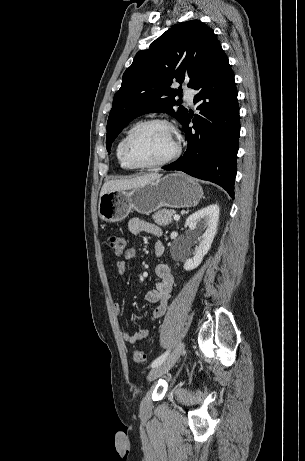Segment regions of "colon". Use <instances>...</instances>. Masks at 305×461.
<instances>
[{
    "label": "colon",
    "mask_w": 305,
    "mask_h": 461,
    "mask_svg": "<svg viewBox=\"0 0 305 461\" xmlns=\"http://www.w3.org/2000/svg\"><path fill=\"white\" fill-rule=\"evenodd\" d=\"M108 245L116 255H122L126 251L127 240L124 236L110 235L108 237ZM133 359L135 362L142 363L146 360L145 353L140 349L133 351Z\"/></svg>",
    "instance_id": "1"
}]
</instances>
